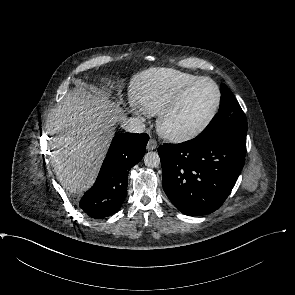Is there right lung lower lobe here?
Returning <instances> with one entry per match:
<instances>
[{"label":"right lung lower lobe","mask_w":295,"mask_h":295,"mask_svg":"<svg viewBox=\"0 0 295 295\" xmlns=\"http://www.w3.org/2000/svg\"><path fill=\"white\" fill-rule=\"evenodd\" d=\"M147 134L122 133L114 137L95 184L80 200V208L92 218L116 213L127 192L128 172L145 154Z\"/></svg>","instance_id":"right-lung-lower-lobe-1"}]
</instances>
